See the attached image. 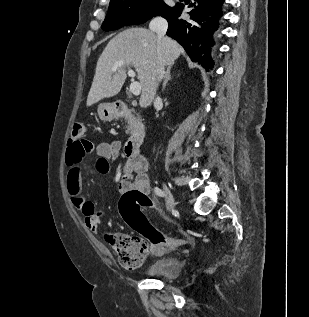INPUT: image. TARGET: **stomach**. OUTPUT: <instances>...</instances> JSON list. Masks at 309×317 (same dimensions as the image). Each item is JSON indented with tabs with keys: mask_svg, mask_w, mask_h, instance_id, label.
<instances>
[{
	"mask_svg": "<svg viewBox=\"0 0 309 317\" xmlns=\"http://www.w3.org/2000/svg\"><path fill=\"white\" fill-rule=\"evenodd\" d=\"M98 115L102 121H111L119 116L112 104L102 103L98 106Z\"/></svg>",
	"mask_w": 309,
	"mask_h": 317,
	"instance_id": "stomach-1",
	"label": "stomach"
}]
</instances>
